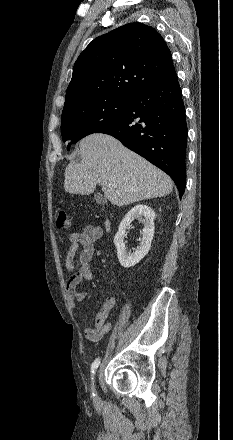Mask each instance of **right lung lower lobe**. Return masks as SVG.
Returning a JSON list of instances; mask_svg holds the SVG:
<instances>
[{
	"instance_id": "98d812e1",
	"label": "right lung lower lobe",
	"mask_w": 233,
	"mask_h": 440,
	"mask_svg": "<svg viewBox=\"0 0 233 440\" xmlns=\"http://www.w3.org/2000/svg\"><path fill=\"white\" fill-rule=\"evenodd\" d=\"M97 133L117 138L166 172L182 197L186 184L187 125L176 72L133 94L124 113Z\"/></svg>"
}]
</instances>
